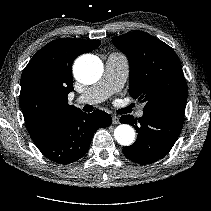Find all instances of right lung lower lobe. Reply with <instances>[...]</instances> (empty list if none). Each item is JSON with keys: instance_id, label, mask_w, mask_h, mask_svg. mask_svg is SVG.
Instances as JSON below:
<instances>
[{"instance_id": "obj_1", "label": "right lung lower lobe", "mask_w": 211, "mask_h": 211, "mask_svg": "<svg viewBox=\"0 0 211 211\" xmlns=\"http://www.w3.org/2000/svg\"><path fill=\"white\" fill-rule=\"evenodd\" d=\"M111 123V116L101 110L89 114L78 110L62 120L35 145L53 162L73 163L87 153L95 131Z\"/></svg>"}]
</instances>
